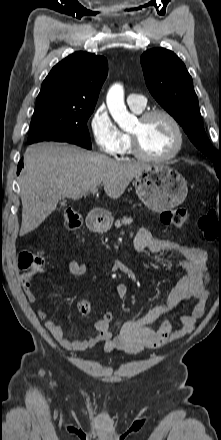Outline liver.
I'll use <instances>...</instances> for the list:
<instances>
[{
  "label": "liver",
  "mask_w": 221,
  "mask_h": 440,
  "mask_svg": "<svg viewBox=\"0 0 221 440\" xmlns=\"http://www.w3.org/2000/svg\"><path fill=\"white\" fill-rule=\"evenodd\" d=\"M148 167L146 163L117 161L66 144L31 145L24 155L20 174V236L39 227L65 197L80 199L102 184L110 198L118 199L132 179Z\"/></svg>",
  "instance_id": "liver-1"
}]
</instances>
